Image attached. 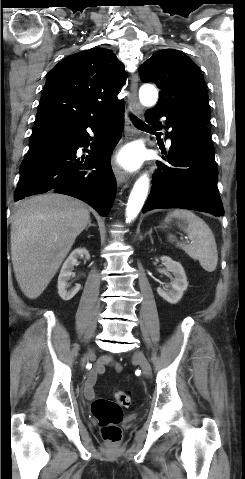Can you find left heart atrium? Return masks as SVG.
Returning a JSON list of instances; mask_svg holds the SVG:
<instances>
[{
  "label": "left heart atrium",
  "mask_w": 245,
  "mask_h": 479,
  "mask_svg": "<svg viewBox=\"0 0 245 479\" xmlns=\"http://www.w3.org/2000/svg\"><path fill=\"white\" fill-rule=\"evenodd\" d=\"M118 160L124 167L135 169L141 164L142 156L137 148L128 147L120 153Z\"/></svg>",
  "instance_id": "39dd6f15"
}]
</instances>
